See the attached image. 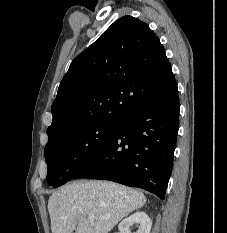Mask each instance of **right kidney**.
I'll list each match as a JSON object with an SVG mask.
<instances>
[{"mask_svg":"<svg viewBox=\"0 0 227 233\" xmlns=\"http://www.w3.org/2000/svg\"><path fill=\"white\" fill-rule=\"evenodd\" d=\"M137 224L139 229L135 233H150L152 221L145 212H135L120 222L118 229L120 233H131L130 227Z\"/></svg>","mask_w":227,"mask_h":233,"instance_id":"1","label":"right kidney"}]
</instances>
